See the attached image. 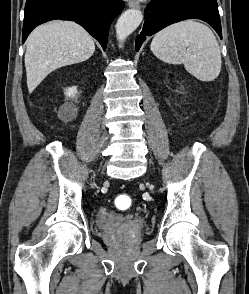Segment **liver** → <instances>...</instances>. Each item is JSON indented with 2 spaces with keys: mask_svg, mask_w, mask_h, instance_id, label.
Instances as JSON below:
<instances>
[{
  "mask_svg": "<svg viewBox=\"0 0 249 294\" xmlns=\"http://www.w3.org/2000/svg\"><path fill=\"white\" fill-rule=\"evenodd\" d=\"M95 51L92 37L72 21H53L38 26L26 43L27 87L32 93L52 71L86 61Z\"/></svg>",
  "mask_w": 249,
  "mask_h": 294,
  "instance_id": "1",
  "label": "liver"
}]
</instances>
